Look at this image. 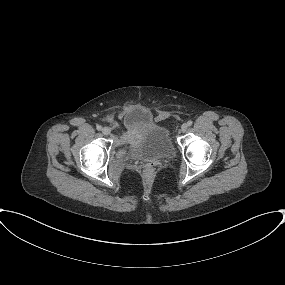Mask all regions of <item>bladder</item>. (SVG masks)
<instances>
[{"label":"bladder","instance_id":"obj_1","mask_svg":"<svg viewBox=\"0 0 285 285\" xmlns=\"http://www.w3.org/2000/svg\"><path fill=\"white\" fill-rule=\"evenodd\" d=\"M125 131L135 136L129 153L137 159L170 158L175 148L169 130L154 122L150 114L135 108L124 118Z\"/></svg>","mask_w":285,"mask_h":285}]
</instances>
